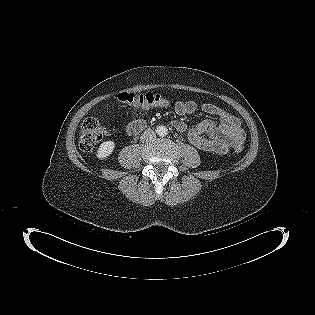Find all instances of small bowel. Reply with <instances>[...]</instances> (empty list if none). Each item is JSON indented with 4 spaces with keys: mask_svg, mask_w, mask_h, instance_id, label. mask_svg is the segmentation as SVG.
Wrapping results in <instances>:
<instances>
[{
    "mask_svg": "<svg viewBox=\"0 0 315 315\" xmlns=\"http://www.w3.org/2000/svg\"><path fill=\"white\" fill-rule=\"evenodd\" d=\"M197 109V103L191 100L174 104V110L180 116L193 114ZM200 109L215 116L217 121L204 120L188 127L181 120H173L172 126L178 131L186 132L189 142L203 151L223 154L231 147L243 145L246 134L238 118L212 103H204Z\"/></svg>",
    "mask_w": 315,
    "mask_h": 315,
    "instance_id": "obj_1",
    "label": "small bowel"
}]
</instances>
